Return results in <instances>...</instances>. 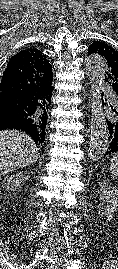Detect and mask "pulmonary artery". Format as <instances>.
I'll list each match as a JSON object with an SVG mask.
<instances>
[{
  "instance_id": "obj_1",
  "label": "pulmonary artery",
  "mask_w": 118,
  "mask_h": 269,
  "mask_svg": "<svg viewBox=\"0 0 118 269\" xmlns=\"http://www.w3.org/2000/svg\"><path fill=\"white\" fill-rule=\"evenodd\" d=\"M108 97L112 103H114V104L118 103V100L116 99V96L113 92H109Z\"/></svg>"
}]
</instances>
